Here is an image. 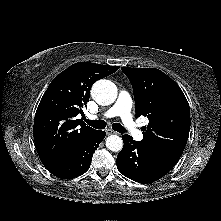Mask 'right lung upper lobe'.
<instances>
[{"mask_svg":"<svg viewBox=\"0 0 221 221\" xmlns=\"http://www.w3.org/2000/svg\"><path fill=\"white\" fill-rule=\"evenodd\" d=\"M119 69L90 62H78L50 83L36 111L33 135L38 155L45 167L71 155L97 130L86 126L78 114L90 97L94 82Z\"/></svg>","mask_w":221,"mask_h":221,"instance_id":"obj_1","label":"right lung upper lobe"}]
</instances>
